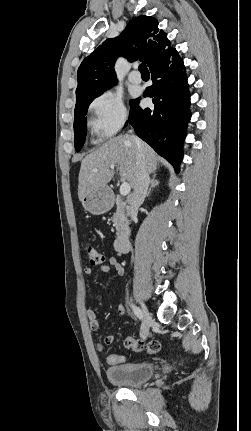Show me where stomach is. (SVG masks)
Masks as SVG:
<instances>
[{"label":"stomach","mask_w":251,"mask_h":431,"mask_svg":"<svg viewBox=\"0 0 251 431\" xmlns=\"http://www.w3.org/2000/svg\"><path fill=\"white\" fill-rule=\"evenodd\" d=\"M81 203L84 209L93 215L104 214L113 206L112 197L106 187L90 190Z\"/></svg>","instance_id":"stomach-1"}]
</instances>
